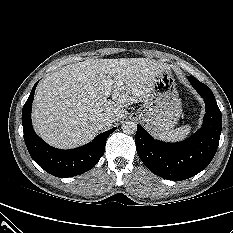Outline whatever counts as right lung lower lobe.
<instances>
[{
  "label": "right lung lower lobe",
  "mask_w": 233,
  "mask_h": 233,
  "mask_svg": "<svg viewBox=\"0 0 233 233\" xmlns=\"http://www.w3.org/2000/svg\"><path fill=\"white\" fill-rule=\"evenodd\" d=\"M37 83L23 107L22 125L26 147L32 159L53 176L66 178L92 169L103 156L106 139L116 127L99 134L92 142L79 148L60 150L45 143L33 130L31 109Z\"/></svg>",
  "instance_id": "obj_1"
}]
</instances>
